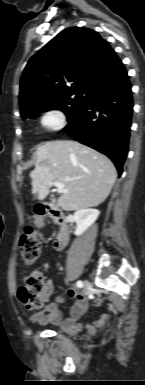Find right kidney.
<instances>
[{"label": "right kidney", "instance_id": "1", "mask_svg": "<svg viewBox=\"0 0 145 385\" xmlns=\"http://www.w3.org/2000/svg\"><path fill=\"white\" fill-rule=\"evenodd\" d=\"M100 212L97 209H81L74 214V221L77 228L74 232L76 236L82 235L98 218Z\"/></svg>", "mask_w": 145, "mask_h": 385}]
</instances>
